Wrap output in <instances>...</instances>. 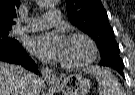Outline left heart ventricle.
<instances>
[{
	"label": "left heart ventricle",
	"mask_w": 135,
	"mask_h": 95,
	"mask_svg": "<svg viewBox=\"0 0 135 95\" xmlns=\"http://www.w3.org/2000/svg\"><path fill=\"white\" fill-rule=\"evenodd\" d=\"M88 55L89 48L82 39H68L62 61L68 63H76L84 60L88 57Z\"/></svg>",
	"instance_id": "obj_1"
}]
</instances>
